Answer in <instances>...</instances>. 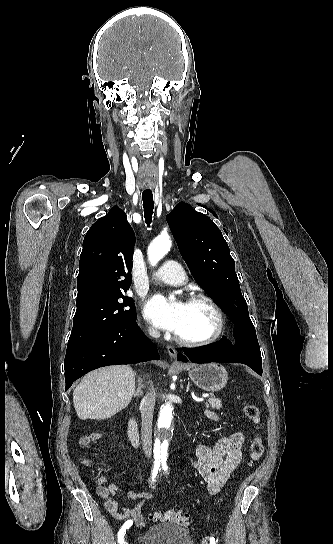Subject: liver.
Returning <instances> with one entry per match:
<instances>
[{
  "instance_id": "6515ba94",
  "label": "liver",
  "mask_w": 333,
  "mask_h": 544,
  "mask_svg": "<svg viewBox=\"0 0 333 544\" xmlns=\"http://www.w3.org/2000/svg\"><path fill=\"white\" fill-rule=\"evenodd\" d=\"M134 392L135 374L132 368L126 365L108 366L84 376L73 392V403L81 420L107 419L126 408Z\"/></svg>"
}]
</instances>
